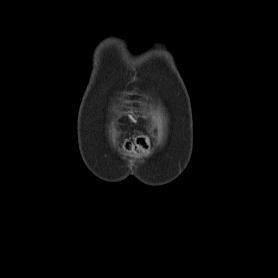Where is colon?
I'll use <instances>...</instances> for the list:
<instances>
[{
  "instance_id": "obj_1",
  "label": "colon",
  "mask_w": 278,
  "mask_h": 278,
  "mask_svg": "<svg viewBox=\"0 0 278 278\" xmlns=\"http://www.w3.org/2000/svg\"><path fill=\"white\" fill-rule=\"evenodd\" d=\"M148 139L144 135L137 136L134 140L126 141L124 149L132 155H142L148 149Z\"/></svg>"
}]
</instances>
